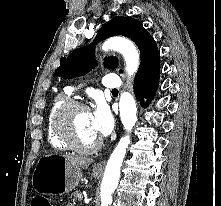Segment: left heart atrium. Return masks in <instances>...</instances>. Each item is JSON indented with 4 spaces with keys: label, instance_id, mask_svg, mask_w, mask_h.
<instances>
[{
    "label": "left heart atrium",
    "instance_id": "obj_1",
    "mask_svg": "<svg viewBox=\"0 0 221 206\" xmlns=\"http://www.w3.org/2000/svg\"><path fill=\"white\" fill-rule=\"evenodd\" d=\"M91 124L98 137L108 135L113 129V118L108 109L99 104L90 112Z\"/></svg>",
    "mask_w": 221,
    "mask_h": 206
}]
</instances>
